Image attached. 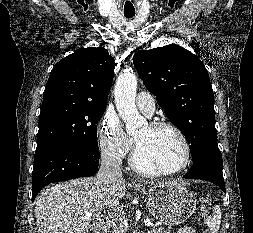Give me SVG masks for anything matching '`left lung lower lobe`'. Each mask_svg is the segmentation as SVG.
Segmentation results:
<instances>
[{"label": "left lung lower lobe", "instance_id": "0a47b994", "mask_svg": "<svg viewBox=\"0 0 253 233\" xmlns=\"http://www.w3.org/2000/svg\"><path fill=\"white\" fill-rule=\"evenodd\" d=\"M222 167V156L203 154L198 159L194 160L192 168L185 174L184 178L210 181L225 192Z\"/></svg>", "mask_w": 253, "mask_h": 233}]
</instances>
